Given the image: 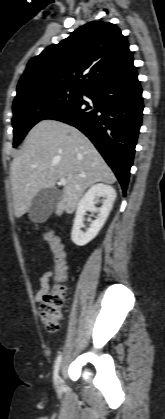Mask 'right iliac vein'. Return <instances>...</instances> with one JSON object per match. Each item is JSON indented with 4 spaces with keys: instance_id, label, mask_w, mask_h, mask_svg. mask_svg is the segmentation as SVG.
I'll return each instance as SVG.
<instances>
[{
    "instance_id": "right-iliac-vein-1",
    "label": "right iliac vein",
    "mask_w": 165,
    "mask_h": 419,
    "mask_svg": "<svg viewBox=\"0 0 165 419\" xmlns=\"http://www.w3.org/2000/svg\"><path fill=\"white\" fill-rule=\"evenodd\" d=\"M61 386H62L61 380H60V378H58L57 381H56V389L60 390Z\"/></svg>"
}]
</instances>
